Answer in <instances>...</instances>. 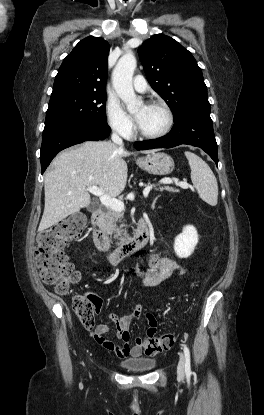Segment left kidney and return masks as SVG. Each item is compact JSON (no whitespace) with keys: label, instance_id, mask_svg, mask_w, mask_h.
Returning <instances> with one entry per match:
<instances>
[{"label":"left kidney","instance_id":"left-kidney-1","mask_svg":"<svg viewBox=\"0 0 264 415\" xmlns=\"http://www.w3.org/2000/svg\"><path fill=\"white\" fill-rule=\"evenodd\" d=\"M198 240L196 228L192 225L185 226L182 233L176 236L174 240V251L176 255L180 258L189 257L193 253Z\"/></svg>","mask_w":264,"mask_h":415}]
</instances>
